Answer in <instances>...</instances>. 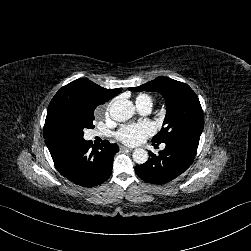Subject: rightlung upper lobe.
Wrapping results in <instances>:
<instances>
[{"mask_svg": "<svg viewBox=\"0 0 251 251\" xmlns=\"http://www.w3.org/2000/svg\"><path fill=\"white\" fill-rule=\"evenodd\" d=\"M121 90L122 88L105 89L86 78H81L62 87L57 94L63 95L71 105L77 108L94 112L98 105L104 104Z\"/></svg>", "mask_w": 251, "mask_h": 251, "instance_id": "obj_1", "label": "right lung upper lobe"}]
</instances>
